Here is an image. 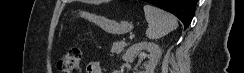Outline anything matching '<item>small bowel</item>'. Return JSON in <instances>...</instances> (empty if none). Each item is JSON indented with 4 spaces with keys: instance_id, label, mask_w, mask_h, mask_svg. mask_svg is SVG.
Returning a JSON list of instances; mask_svg holds the SVG:
<instances>
[{
    "instance_id": "small-bowel-1",
    "label": "small bowel",
    "mask_w": 244,
    "mask_h": 73,
    "mask_svg": "<svg viewBox=\"0 0 244 73\" xmlns=\"http://www.w3.org/2000/svg\"><path fill=\"white\" fill-rule=\"evenodd\" d=\"M86 73H102L101 66L98 61H91L87 64Z\"/></svg>"
}]
</instances>
